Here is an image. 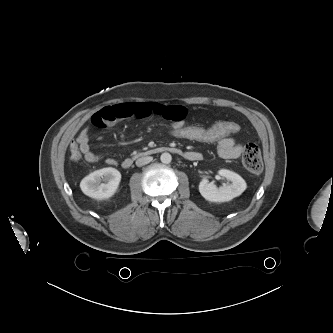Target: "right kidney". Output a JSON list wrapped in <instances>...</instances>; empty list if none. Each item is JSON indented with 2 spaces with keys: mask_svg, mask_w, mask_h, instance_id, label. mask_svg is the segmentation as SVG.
<instances>
[{
  "mask_svg": "<svg viewBox=\"0 0 333 333\" xmlns=\"http://www.w3.org/2000/svg\"><path fill=\"white\" fill-rule=\"evenodd\" d=\"M121 181L120 172L112 167L96 170L84 177L80 183L82 192L94 199L112 197Z\"/></svg>",
  "mask_w": 333,
  "mask_h": 333,
  "instance_id": "1",
  "label": "right kidney"
}]
</instances>
